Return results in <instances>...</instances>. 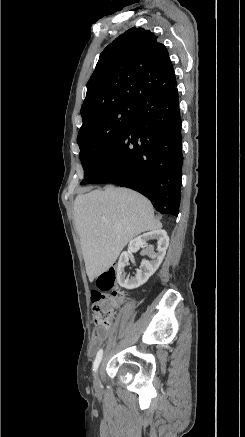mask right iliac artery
Wrapping results in <instances>:
<instances>
[{
	"mask_svg": "<svg viewBox=\"0 0 245 437\" xmlns=\"http://www.w3.org/2000/svg\"><path fill=\"white\" fill-rule=\"evenodd\" d=\"M102 355H103V350L100 349L98 351L97 355H96V358H95V361H94V364H93V371L94 372H96L97 369H98V366H99V364L101 362V359H102Z\"/></svg>",
	"mask_w": 245,
	"mask_h": 437,
	"instance_id": "82829eb1",
	"label": "right iliac artery"
}]
</instances>
